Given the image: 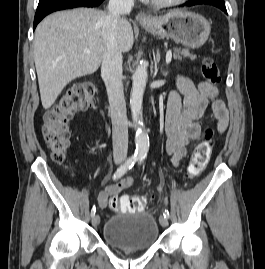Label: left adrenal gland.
<instances>
[{"label": "left adrenal gland", "instance_id": "1", "mask_svg": "<svg viewBox=\"0 0 265 269\" xmlns=\"http://www.w3.org/2000/svg\"><path fill=\"white\" fill-rule=\"evenodd\" d=\"M154 60H155V67L157 68V65H158V63L160 61V54H159V52L157 53L156 58ZM167 74H168V72H163V75L166 76Z\"/></svg>", "mask_w": 265, "mask_h": 269}]
</instances>
